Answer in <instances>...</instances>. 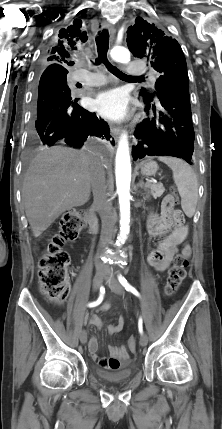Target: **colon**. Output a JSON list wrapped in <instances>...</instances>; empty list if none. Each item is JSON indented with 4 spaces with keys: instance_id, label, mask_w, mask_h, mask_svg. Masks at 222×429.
<instances>
[{
    "instance_id": "colon-1",
    "label": "colon",
    "mask_w": 222,
    "mask_h": 429,
    "mask_svg": "<svg viewBox=\"0 0 222 429\" xmlns=\"http://www.w3.org/2000/svg\"><path fill=\"white\" fill-rule=\"evenodd\" d=\"M179 201L177 194L168 195L163 203L174 205ZM86 222L85 213L81 210L71 209L66 211L60 222L57 234L49 242L45 253L41 256L39 266L40 291L46 299L55 304L63 303L70 292L68 282V265L70 257L62 249L64 243L78 237ZM188 259L183 254H178L168 270L164 287L167 296L174 295L186 276ZM130 350L134 351L137 340L134 336L127 341Z\"/></svg>"
}]
</instances>
